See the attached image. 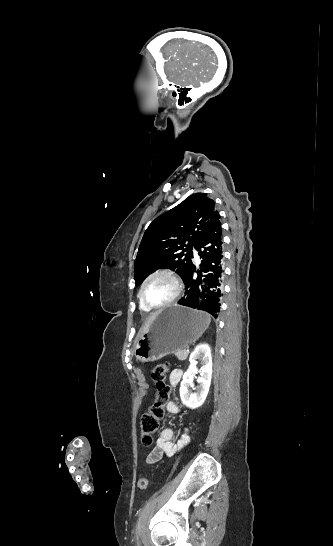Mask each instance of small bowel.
<instances>
[{"instance_id":"obj_1","label":"small bowel","mask_w":333,"mask_h":546,"mask_svg":"<svg viewBox=\"0 0 333 546\" xmlns=\"http://www.w3.org/2000/svg\"><path fill=\"white\" fill-rule=\"evenodd\" d=\"M183 372L181 369H174L170 373V383L172 386H177L182 379ZM170 413L176 414L180 411L178 405L174 402H169L166 406ZM174 430L170 427H165L160 431L159 437L156 440L154 449L148 454L147 463H155L159 461L163 455L168 457L174 456L190 441L188 430H184L179 439L174 442Z\"/></svg>"}]
</instances>
